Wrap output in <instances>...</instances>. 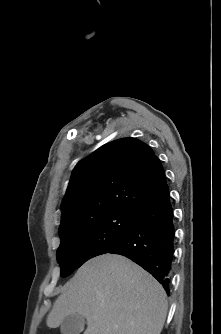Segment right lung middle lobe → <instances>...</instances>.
<instances>
[{
	"label": "right lung middle lobe",
	"mask_w": 221,
	"mask_h": 334,
	"mask_svg": "<svg viewBox=\"0 0 221 334\" xmlns=\"http://www.w3.org/2000/svg\"><path fill=\"white\" fill-rule=\"evenodd\" d=\"M134 214L109 212L86 219L71 227L61 238L57 261L65 277L88 259L104 254L121 240Z\"/></svg>",
	"instance_id": "1"
}]
</instances>
